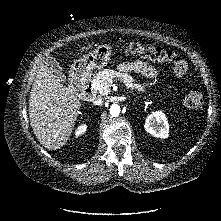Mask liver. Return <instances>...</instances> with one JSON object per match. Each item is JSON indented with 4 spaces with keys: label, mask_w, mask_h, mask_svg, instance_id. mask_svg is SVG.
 <instances>
[{
    "label": "liver",
    "mask_w": 221,
    "mask_h": 221,
    "mask_svg": "<svg viewBox=\"0 0 221 221\" xmlns=\"http://www.w3.org/2000/svg\"><path fill=\"white\" fill-rule=\"evenodd\" d=\"M91 46L82 47L80 52ZM81 101L44 64L38 69L29 100V118L36 138L46 149L57 150L67 143L75 128Z\"/></svg>",
    "instance_id": "liver-1"
}]
</instances>
